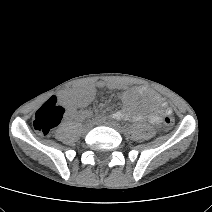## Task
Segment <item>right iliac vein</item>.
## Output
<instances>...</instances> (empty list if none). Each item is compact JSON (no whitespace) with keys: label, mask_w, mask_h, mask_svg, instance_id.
Returning <instances> with one entry per match:
<instances>
[{"label":"right iliac vein","mask_w":212,"mask_h":212,"mask_svg":"<svg viewBox=\"0 0 212 212\" xmlns=\"http://www.w3.org/2000/svg\"><path fill=\"white\" fill-rule=\"evenodd\" d=\"M92 127H93V124L92 123H87V124H85L83 126L82 131L84 133H87V132H89L92 129Z\"/></svg>","instance_id":"1"}]
</instances>
